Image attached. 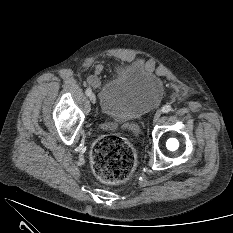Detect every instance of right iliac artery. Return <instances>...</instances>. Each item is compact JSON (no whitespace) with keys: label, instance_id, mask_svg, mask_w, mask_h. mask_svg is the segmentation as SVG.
I'll return each instance as SVG.
<instances>
[{"label":"right iliac artery","instance_id":"1","mask_svg":"<svg viewBox=\"0 0 233 233\" xmlns=\"http://www.w3.org/2000/svg\"><path fill=\"white\" fill-rule=\"evenodd\" d=\"M85 93L87 96H89L92 94V90L88 88V89H86Z\"/></svg>","mask_w":233,"mask_h":233}]
</instances>
